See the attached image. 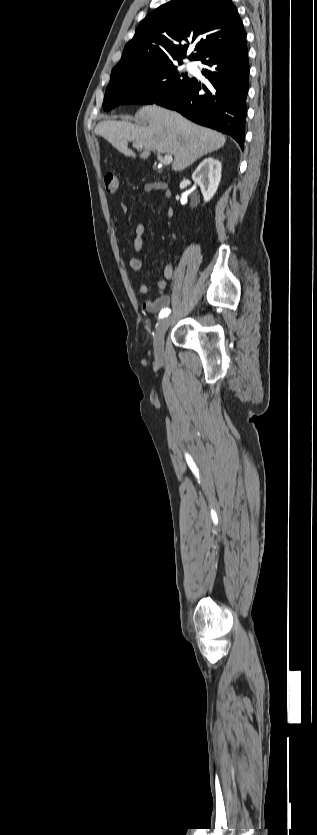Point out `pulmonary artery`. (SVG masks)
Segmentation results:
<instances>
[{
  "mask_svg": "<svg viewBox=\"0 0 317 835\" xmlns=\"http://www.w3.org/2000/svg\"><path fill=\"white\" fill-rule=\"evenodd\" d=\"M188 67H189V68H192V67H193V65H192V64H189V65H188Z\"/></svg>",
  "mask_w": 317,
  "mask_h": 835,
  "instance_id": "1",
  "label": "pulmonary artery"
}]
</instances>
